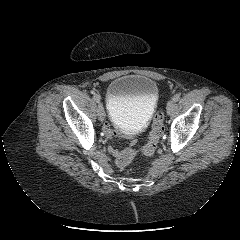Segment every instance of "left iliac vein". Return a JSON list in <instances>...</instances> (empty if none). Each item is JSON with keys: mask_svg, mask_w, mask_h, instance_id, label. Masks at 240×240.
Segmentation results:
<instances>
[{"mask_svg": "<svg viewBox=\"0 0 240 240\" xmlns=\"http://www.w3.org/2000/svg\"><path fill=\"white\" fill-rule=\"evenodd\" d=\"M166 109H167V114H168V115H171V113H172V111H173V109H174V101L169 100V101L167 102Z\"/></svg>", "mask_w": 240, "mask_h": 240, "instance_id": "obj_1", "label": "left iliac vein"}]
</instances>
